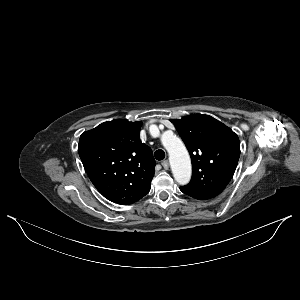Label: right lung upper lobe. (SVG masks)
Returning a JSON list of instances; mask_svg holds the SVG:
<instances>
[{"instance_id": "obj_1", "label": "right lung upper lobe", "mask_w": 300, "mask_h": 300, "mask_svg": "<svg viewBox=\"0 0 300 300\" xmlns=\"http://www.w3.org/2000/svg\"><path fill=\"white\" fill-rule=\"evenodd\" d=\"M142 122L116 119L80 136L78 151L90 180L108 200L126 204L150 191L155 159L140 141Z\"/></svg>"}]
</instances>
